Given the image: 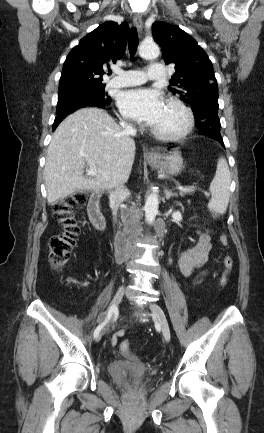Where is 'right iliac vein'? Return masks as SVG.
Instances as JSON below:
<instances>
[{"mask_svg":"<svg viewBox=\"0 0 264 433\" xmlns=\"http://www.w3.org/2000/svg\"><path fill=\"white\" fill-rule=\"evenodd\" d=\"M123 294H124V287H123V286H120V287L118 288V290H117V292H116L114 298H113L112 305H111V306L114 307V312H115V313H116L117 310H118V305H119V303H120L121 300H122ZM104 333H105V330H103V331L98 335V337H97V340H98V341L101 340V338H102V336L104 335Z\"/></svg>","mask_w":264,"mask_h":433,"instance_id":"1","label":"right iliac vein"}]
</instances>
